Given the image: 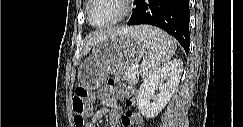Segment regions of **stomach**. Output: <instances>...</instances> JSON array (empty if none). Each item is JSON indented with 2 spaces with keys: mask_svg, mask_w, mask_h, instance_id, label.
Listing matches in <instances>:
<instances>
[{
  "mask_svg": "<svg viewBox=\"0 0 243 127\" xmlns=\"http://www.w3.org/2000/svg\"><path fill=\"white\" fill-rule=\"evenodd\" d=\"M145 53L142 40L134 33H120L99 41L92 54L81 63L79 82L87 89H96L108 74H123L137 66Z\"/></svg>",
  "mask_w": 243,
  "mask_h": 127,
  "instance_id": "obj_1",
  "label": "stomach"
}]
</instances>
